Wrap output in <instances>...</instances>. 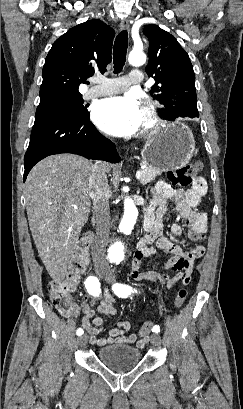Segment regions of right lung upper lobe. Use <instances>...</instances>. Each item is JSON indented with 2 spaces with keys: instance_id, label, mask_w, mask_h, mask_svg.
<instances>
[{
  "instance_id": "cb5924a9",
  "label": "right lung upper lobe",
  "mask_w": 243,
  "mask_h": 409,
  "mask_svg": "<svg viewBox=\"0 0 243 409\" xmlns=\"http://www.w3.org/2000/svg\"><path fill=\"white\" fill-rule=\"evenodd\" d=\"M114 31L99 20H88L58 38L43 66L40 101L81 95L78 87L111 62Z\"/></svg>"
}]
</instances>
